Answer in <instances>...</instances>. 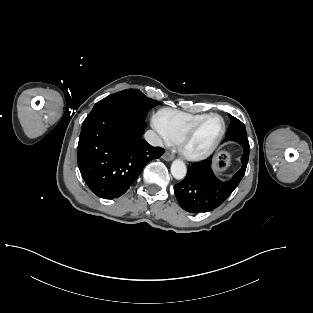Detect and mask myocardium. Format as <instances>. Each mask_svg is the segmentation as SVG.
Segmentation results:
<instances>
[{"mask_svg": "<svg viewBox=\"0 0 313 313\" xmlns=\"http://www.w3.org/2000/svg\"><path fill=\"white\" fill-rule=\"evenodd\" d=\"M211 117H217L221 120L222 122V130L221 133L219 134L218 138L216 139V141L214 142V144L206 151L204 152H192L189 150L188 145L189 142L191 140V138L193 137V135L195 134V132L199 129V127L209 118ZM226 122L225 119L217 113H210L207 114L206 116H204L201 120H199L198 122H196L195 124H193L181 137V139L178 142V148L180 153L188 160L191 161H200V160H204L206 158H208L209 156H211L216 149L219 147V145L221 144L225 133H226Z\"/></svg>", "mask_w": 313, "mask_h": 313, "instance_id": "myocardium-1", "label": "myocardium"}]
</instances>
